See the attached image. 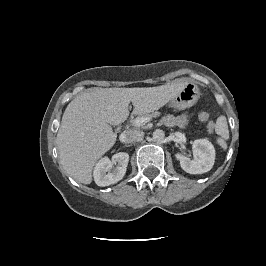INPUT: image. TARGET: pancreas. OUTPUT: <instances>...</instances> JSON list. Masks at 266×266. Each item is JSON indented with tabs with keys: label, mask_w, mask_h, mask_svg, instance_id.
I'll return each mask as SVG.
<instances>
[{
	"label": "pancreas",
	"mask_w": 266,
	"mask_h": 266,
	"mask_svg": "<svg viewBox=\"0 0 266 266\" xmlns=\"http://www.w3.org/2000/svg\"><path fill=\"white\" fill-rule=\"evenodd\" d=\"M158 115H159V112H153V113H151V114L140 115V116L137 117V118H141V117H149V118H152V117H156V116H158ZM135 120H136V119H134V120L131 121L132 126H134L135 128H143V127H144V124H143V125H137V124L135 123Z\"/></svg>",
	"instance_id": "obj_1"
}]
</instances>
